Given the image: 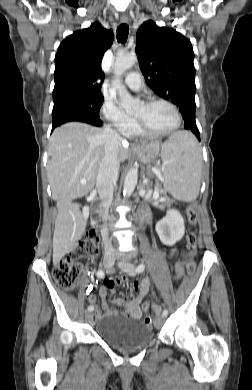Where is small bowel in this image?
I'll use <instances>...</instances> for the list:
<instances>
[{
	"label": "small bowel",
	"instance_id": "obj_1",
	"mask_svg": "<svg viewBox=\"0 0 252 390\" xmlns=\"http://www.w3.org/2000/svg\"><path fill=\"white\" fill-rule=\"evenodd\" d=\"M143 216L145 218L148 217V213L146 210H143ZM173 255V252L172 254ZM182 275L181 270L177 271L176 279H179ZM125 284L126 279L124 277H118L116 280L108 279L104 281L103 286L99 289V296L102 299L101 307L104 310V312L96 307L97 297L94 294L89 295L88 301L91 304V306L96 307L95 311V318L97 320H100L104 317H111V316H118V315H125L133 320H140L142 318V315L144 312H147L148 307L141 306L142 299L147 295L149 288H150V281L148 278H144L140 283H137V289H138V295H129L123 298H117L113 301L106 300L108 290L114 294L115 291V284ZM112 304H116L123 308V310H119L117 308H113Z\"/></svg>",
	"mask_w": 252,
	"mask_h": 390
}]
</instances>
